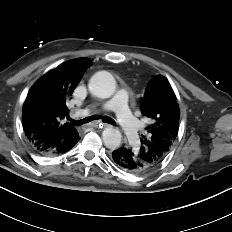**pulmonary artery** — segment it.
Wrapping results in <instances>:
<instances>
[{
	"label": "pulmonary artery",
	"mask_w": 232,
	"mask_h": 232,
	"mask_svg": "<svg viewBox=\"0 0 232 232\" xmlns=\"http://www.w3.org/2000/svg\"><path fill=\"white\" fill-rule=\"evenodd\" d=\"M128 101L129 92L125 89H120L111 101L103 105V110L115 111L117 120L122 127L127 140L134 149H137L139 144L138 123L128 107ZM86 113L87 111L82 112V114Z\"/></svg>",
	"instance_id": "e3ab8cb5"
}]
</instances>
